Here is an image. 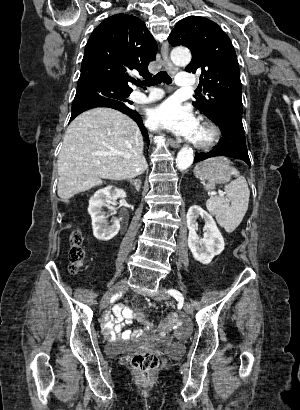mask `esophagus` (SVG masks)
<instances>
[{"label":"esophagus","mask_w":300,"mask_h":410,"mask_svg":"<svg viewBox=\"0 0 300 410\" xmlns=\"http://www.w3.org/2000/svg\"><path fill=\"white\" fill-rule=\"evenodd\" d=\"M161 55H162V59L165 63V66L167 68V70L171 73V74H175L178 70L177 67H175L172 62L170 61L169 58V45L168 42L165 41L161 47ZM169 144L171 147L173 148H179L180 147V143L174 139H170L169 140Z\"/></svg>","instance_id":"esophagus-1"}]
</instances>
